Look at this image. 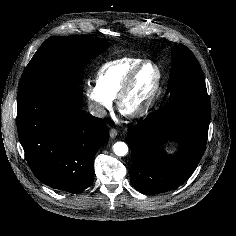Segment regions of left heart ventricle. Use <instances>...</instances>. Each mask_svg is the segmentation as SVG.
Masks as SVG:
<instances>
[{
    "label": "left heart ventricle",
    "instance_id": "obj_1",
    "mask_svg": "<svg viewBox=\"0 0 236 236\" xmlns=\"http://www.w3.org/2000/svg\"><path fill=\"white\" fill-rule=\"evenodd\" d=\"M158 79V73L154 66H145L137 75L133 86L123 102V111L131 113L148 101Z\"/></svg>",
    "mask_w": 236,
    "mask_h": 236
}]
</instances>
